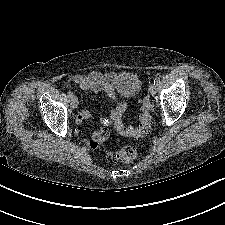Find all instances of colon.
<instances>
[{"mask_svg":"<svg viewBox=\"0 0 225 225\" xmlns=\"http://www.w3.org/2000/svg\"><path fill=\"white\" fill-rule=\"evenodd\" d=\"M139 105L141 107L142 113L137 126H126L122 121L121 114H115V127L119 134L131 138H140L150 132L152 125L151 105L147 99L140 100ZM108 138L109 136L105 131L97 132L94 143L97 145L98 142L107 141ZM137 154L138 148L134 145H126L116 151L108 150L107 152L109 159L121 162L133 161L137 157Z\"/></svg>","mask_w":225,"mask_h":225,"instance_id":"5ec220e1","label":"colon"}]
</instances>
